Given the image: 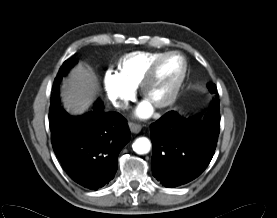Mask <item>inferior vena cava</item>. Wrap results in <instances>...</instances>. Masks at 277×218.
<instances>
[{
  "instance_id": "1",
  "label": "inferior vena cava",
  "mask_w": 277,
  "mask_h": 218,
  "mask_svg": "<svg viewBox=\"0 0 277 218\" xmlns=\"http://www.w3.org/2000/svg\"><path fill=\"white\" fill-rule=\"evenodd\" d=\"M114 106L116 108L126 109V108H128V102L127 101H116V102H114Z\"/></svg>"
}]
</instances>
